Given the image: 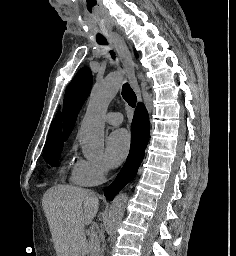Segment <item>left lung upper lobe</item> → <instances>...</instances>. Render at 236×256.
Returning a JSON list of instances; mask_svg holds the SVG:
<instances>
[{
	"label": "left lung upper lobe",
	"mask_w": 236,
	"mask_h": 256,
	"mask_svg": "<svg viewBox=\"0 0 236 256\" xmlns=\"http://www.w3.org/2000/svg\"><path fill=\"white\" fill-rule=\"evenodd\" d=\"M92 86V74L88 67H83L68 85L63 104L64 138L72 132L77 115L89 95Z\"/></svg>",
	"instance_id": "1"
}]
</instances>
